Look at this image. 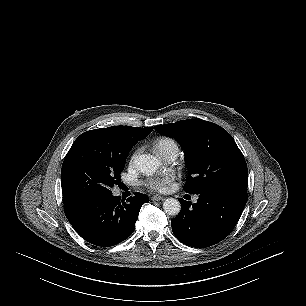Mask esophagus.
I'll list each match as a JSON object with an SVG mask.
<instances>
[{
	"instance_id": "34e87169",
	"label": "esophagus",
	"mask_w": 306,
	"mask_h": 306,
	"mask_svg": "<svg viewBox=\"0 0 306 306\" xmlns=\"http://www.w3.org/2000/svg\"><path fill=\"white\" fill-rule=\"evenodd\" d=\"M152 201H163L165 200V198L163 196H159V195H154L151 197Z\"/></svg>"
}]
</instances>
